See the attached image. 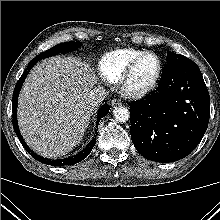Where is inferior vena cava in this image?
<instances>
[{
  "instance_id": "inferior-vena-cava-1",
  "label": "inferior vena cava",
  "mask_w": 220,
  "mask_h": 220,
  "mask_svg": "<svg viewBox=\"0 0 220 220\" xmlns=\"http://www.w3.org/2000/svg\"><path fill=\"white\" fill-rule=\"evenodd\" d=\"M107 97V92L103 87L94 88L89 95V103L93 106L100 104Z\"/></svg>"
}]
</instances>
